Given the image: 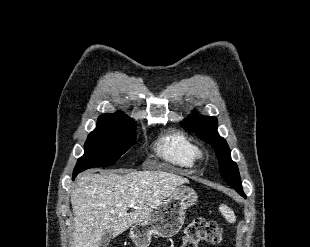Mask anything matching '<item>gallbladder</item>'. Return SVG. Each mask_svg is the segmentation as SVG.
Returning a JSON list of instances; mask_svg holds the SVG:
<instances>
[{"label": "gallbladder", "instance_id": "1", "mask_svg": "<svg viewBox=\"0 0 310 247\" xmlns=\"http://www.w3.org/2000/svg\"><path fill=\"white\" fill-rule=\"evenodd\" d=\"M113 238L112 233L109 231H106L99 242V247H107L110 240Z\"/></svg>", "mask_w": 310, "mask_h": 247}]
</instances>
